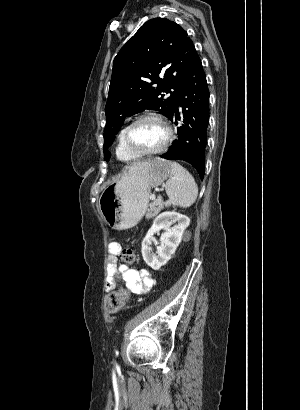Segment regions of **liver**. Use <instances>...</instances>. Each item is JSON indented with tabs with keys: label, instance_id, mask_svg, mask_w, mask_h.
I'll return each mask as SVG.
<instances>
[{
	"label": "liver",
	"instance_id": "1",
	"mask_svg": "<svg viewBox=\"0 0 300 410\" xmlns=\"http://www.w3.org/2000/svg\"><path fill=\"white\" fill-rule=\"evenodd\" d=\"M146 163H147V161L133 163V164H132V166H131L130 168H132V167H136V166H141V165H144V164H146Z\"/></svg>",
	"mask_w": 300,
	"mask_h": 410
}]
</instances>
